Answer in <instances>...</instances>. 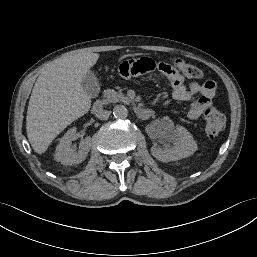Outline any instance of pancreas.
<instances>
[{
  "label": "pancreas",
  "mask_w": 257,
  "mask_h": 257,
  "mask_svg": "<svg viewBox=\"0 0 257 257\" xmlns=\"http://www.w3.org/2000/svg\"><path fill=\"white\" fill-rule=\"evenodd\" d=\"M104 103H111V102H124L128 103L130 100L121 92L115 91L113 89H107L104 91Z\"/></svg>",
  "instance_id": "1"
}]
</instances>
